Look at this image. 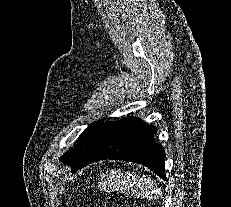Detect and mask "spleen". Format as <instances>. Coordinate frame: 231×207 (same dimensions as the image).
Masks as SVG:
<instances>
[{
	"label": "spleen",
	"instance_id": "3e777b00",
	"mask_svg": "<svg viewBox=\"0 0 231 207\" xmlns=\"http://www.w3.org/2000/svg\"><path fill=\"white\" fill-rule=\"evenodd\" d=\"M107 184L112 190H120L137 198L153 199L159 195V189L151 178L139 177L131 172L114 171Z\"/></svg>",
	"mask_w": 231,
	"mask_h": 207
}]
</instances>
